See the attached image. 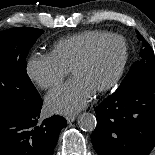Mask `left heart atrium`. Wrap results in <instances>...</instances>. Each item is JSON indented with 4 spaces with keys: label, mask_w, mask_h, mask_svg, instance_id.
Instances as JSON below:
<instances>
[{
    "label": "left heart atrium",
    "mask_w": 155,
    "mask_h": 155,
    "mask_svg": "<svg viewBox=\"0 0 155 155\" xmlns=\"http://www.w3.org/2000/svg\"><path fill=\"white\" fill-rule=\"evenodd\" d=\"M94 93L81 81L73 79L46 97V107L58 114H74L88 105Z\"/></svg>",
    "instance_id": "1"
}]
</instances>
